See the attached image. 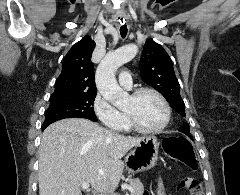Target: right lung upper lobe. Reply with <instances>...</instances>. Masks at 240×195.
<instances>
[{
    "label": "right lung upper lobe",
    "instance_id": "obj_1",
    "mask_svg": "<svg viewBox=\"0 0 240 195\" xmlns=\"http://www.w3.org/2000/svg\"><path fill=\"white\" fill-rule=\"evenodd\" d=\"M95 42L89 36L74 44L63 59L62 72L52 95L96 94L94 66L91 62Z\"/></svg>",
    "mask_w": 240,
    "mask_h": 195
}]
</instances>
